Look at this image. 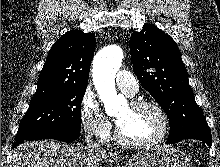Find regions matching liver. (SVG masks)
Instances as JSON below:
<instances>
[{
    "label": "liver",
    "mask_w": 220,
    "mask_h": 167,
    "mask_svg": "<svg viewBox=\"0 0 220 167\" xmlns=\"http://www.w3.org/2000/svg\"><path fill=\"white\" fill-rule=\"evenodd\" d=\"M108 158L106 151L41 140L20 144L12 153L10 167H102Z\"/></svg>",
    "instance_id": "liver-1"
}]
</instances>
